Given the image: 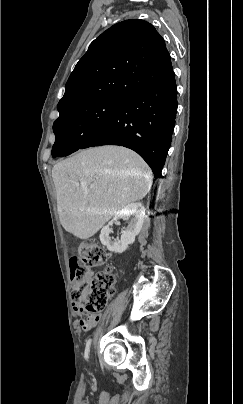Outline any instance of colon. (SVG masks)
I'll list each match as a JSON object with an SVG mask.
<instances>
[{"label":"colon","mask_w":243,"mask_h":404,"mask_svg":"<svg viewBox=\"0 0 243 404\" xmlns=\"http://www.w3.org/2000/svg\"><path fill=\"white\" fill-rule=\"evenodd\" d=\"M108 258V252L97 244L83 242L78 247V256L70 260L71 275L75 282L72 299L83 301L90 317L104 309L112 291L113 275ZM102 266L105 269L93 276L92 269Z\"/></svg>","instance_id":"1"}]
</instances>
